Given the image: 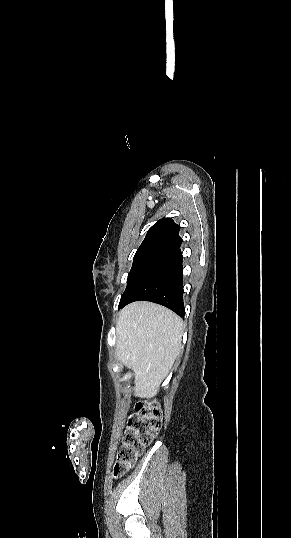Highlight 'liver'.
I'll return each mask as SVG.
<instances>
[{"label": "liver", "mask_w": 291, "mask_h": 538, "mask_svg": "<svg viewBox=\"0 0 291 538\" xmlns=\"http://www.w3.org/2000/svg\"><path fill=\"white\" fill-rule=\"evenodd\" d=\"M183 321L171 310L150 302L124 307L116 325L117 357L134 371V391L152 397L180 353Z\"/></svg>", "instance_id": "liver-1"}]
</instances>
